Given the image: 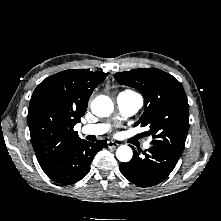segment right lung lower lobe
Instances as JSON below:
<instances>
[{
  "mask_svg": "<svg viewBox=\"0 0 221 221\" xmlns=\"http://www.w3.org/2000/svg\"><path fill=\"white\" fill-rule=\"evenodd\" d=\"M106 147L107 142L104 140H98L96 143L80 140L41 167L45 174L57 183H76L87 175L97 152Z\"/></svg>",
  "mask_w": 221,
  "mask_h": 221,
  "instance_id": "obj_1",
  "label": "right lung lower lobe"
}]
</instances>
